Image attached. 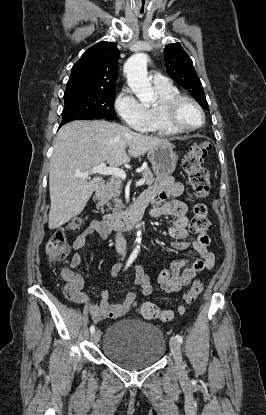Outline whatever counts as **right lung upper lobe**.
I'll return each instance as SVG.
<instances>
[{"label":"right lung upper lobe","instance_id":"right-lung-upper-lobe-1","mask_svg":"<svg viewBox=\"0 0 266 415\" xmlns=\"http://www.w3.org/2000/svg\"><path fill=\"white\" fill-rule=\"evenodd\" d=\"M118 57L114 42L101 41L89 48L72 67L65 92L115 89Z\"/></svg>","mask_w":266,"mask_h":415}]
</instances>
